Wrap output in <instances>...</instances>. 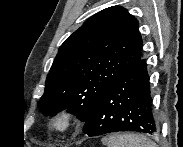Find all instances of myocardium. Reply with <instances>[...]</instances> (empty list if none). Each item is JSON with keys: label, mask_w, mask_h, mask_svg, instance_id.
Listing matches in <instances>:
<instances>
[{"label": "myocardium", "mask_w": 183, "mask_h": 147, "mask_svg": "<svg viewBox=\"0 0 183 147\" xmlns=\"http://www.w3.org/2000/svg\"><path fill=\"white\" fill-rule=\"evenodd\" d=\"M50 125L55 133L59 135L68 134L76 126L75 116L68 110H59L52 116Z\"/></svg>", "instance_id": "myocardium-1"}]
</instances>
